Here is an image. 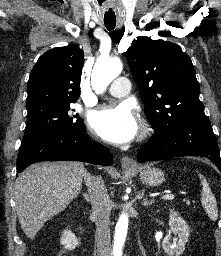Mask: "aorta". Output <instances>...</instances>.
<instances>
[{"label":"aorta","mask_w":221,"mask_h":256,"mask_svg":"<svg viewBox=\"0 0 221 256\" xmlns=\"http://www.w3.org/2000/svg\"><path fill=\"white\" fill-rule=\"evenodd\" d=\"M123 65L118 59L99 60L96 62L91 76V84L98 94L103 93L108 85L120 75ZM129 218L122 213L115 227L114 256H122V248L126 239Z\"/></svg>","instance_id":"762f6f07"}]
</instances>
